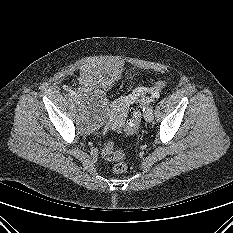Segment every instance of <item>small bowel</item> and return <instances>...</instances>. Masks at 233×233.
<instances>
[{
    "label": "small bowel",
    "instance_id": "small-bowel-1",
    "mask_svg": "<svg viewBox=\"0 0 233 233\" xmlns=\"http://www.w3.org/2000/svg\"><path fill=\"white\" fill-rule=\"evenodd\" d=\"M137 94H134V95H128L126 97H123L119 100V102L117 103V106H116V111L119 115V117L121 118L123 113H124V110L130 105L132 104L133 102L136 101L137 99Z\"/></svg>",
    "mask_w": 233,
    "mask_h": 233
}]
</instances>
